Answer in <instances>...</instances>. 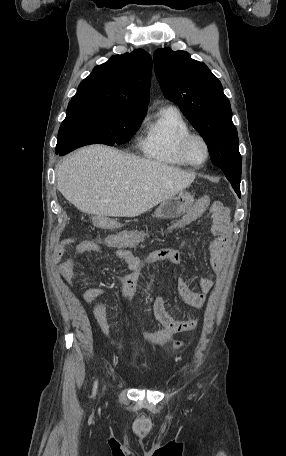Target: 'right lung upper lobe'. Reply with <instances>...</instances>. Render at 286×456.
Returning <instances> with one entry per match:
<instances>
[{
  "label": "right lung upper lobe",
  "mask_w": 286,
  "mask_h": 456,
  "mask_svg": "<svg viewBox=\"0 0 286 456\" xmlns=\"http://www.w3.org/2000/svg\"><path fill=\"white\" fill-rule=\"evenodd\" d=\"M152 58L142 49L112 56L96 66L79 85L70 102H91L147 111Z\"/></svg>",
  "instance_id": "right-lung-upper-lobe-1"
}]
</instances>
